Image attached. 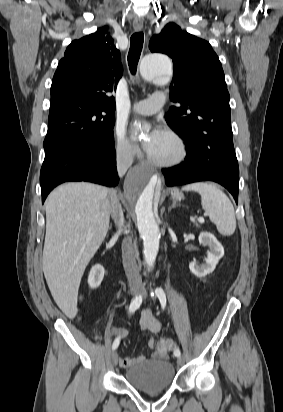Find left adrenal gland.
<instances>
[{"mask_svg":"<svg viewBox=\"0 0 283 412\" xmlns=\"http://www.w3.org/2000/svg\"><path fill=\"white\" fill-rule=\"evenodd\" d=\"M174 207H176V203L173 202V204L168 208V211H171Z\"/></svg>","mask_w":283,"mask_h":412,"instance_id":"left-adrenal-gland-1","label":"left adrenal gland"}]
</instances>
